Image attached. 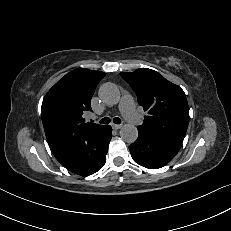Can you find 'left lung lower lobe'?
I'll list each match as a JSON object with an SVG mask.
<instances>
[{
    "label": "left lung lower lobe",
    "instance_id": "left-lung-lower-lobe-1",
    "mask_svg": "<svg viewBox=\"0 0 231 231\" xmlns=\"http://www.w3.org/2000/svg\"><path fill=\"white\" fill-rule=\"evenodd\" d=\"M137 140L129 146L132 158L139 165L158 169L171 161L182 143L155 136L142 130Z\"/></svg>",
    "mask_w": 231,
    "mask_h": 231
}]
</instances>
